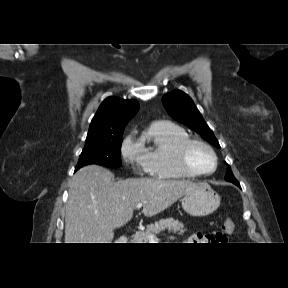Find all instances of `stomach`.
Segmentation results:
<instances>
[{"label":"stomach","mask_w":288,"mask_h":288,"mask_svg":"<svg viewBox=\"0 0 288 288\" xmlns=\"http://www.w3.org/2000/svg\"><path fill=\"white\" fill-rule=\"evenodd\" d=\"M183 209L191 216H207L220 205V196L207 183H198L181 200Z\"/></svg>","instance_id":"stomach-1"}]
</instances>
